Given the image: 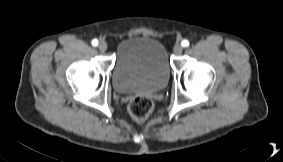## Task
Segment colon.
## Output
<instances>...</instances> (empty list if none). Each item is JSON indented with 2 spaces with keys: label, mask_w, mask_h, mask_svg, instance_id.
I'll return each instance as SVG.
<instances>
[{
  "label": "colon",
  "mask_w": 283,
  "mask_h": 162,
  "mask_svg": "<svg viewBox=\"0 0 283 162\" xmlns=\"http://www.w3.org/2000/svg\"><path fill=\"white\" fill-rule=\"evenodd\" d=\"M153 109L152 100L146 96L135 97L128 107L131 117L138 122L146 120L152 114Z\"/></svg>",
  "instance_id": "colon-1"
}]
</instances>
